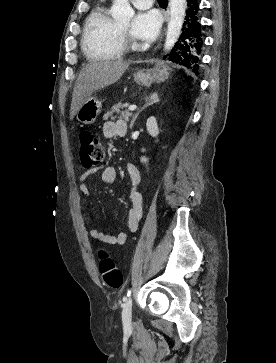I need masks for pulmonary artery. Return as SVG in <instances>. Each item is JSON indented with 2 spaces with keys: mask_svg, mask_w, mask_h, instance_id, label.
<instances>
[{
  "mask_svg": "<svg viewBox=\"0 0 276 363\" xmlns=\"http://www.w3.org/2000/svg\"><path fill=\"white\" fill-rule=\"evenodd\" d=\"M132 4L141 10L148 9L152 6L153 0H131Z\"/></svg>",
  "mask_w": 276,
  "mask_h": 363,
  "instance_id": "e3ab8cb5",
  "label": "pulmonary artery"
}]
</instances>
